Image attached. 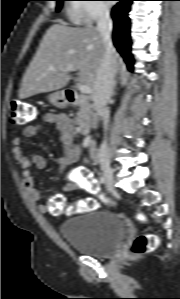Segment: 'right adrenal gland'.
I'll use <instances>...</instances> for the list:
<instances>
[{
    "mask_svg": "<svg viewBox=\"0 0 180 299\" xmlns=\"http://www.w3.org/2000/svg\"><path fill=\"white\" fill-rule=\"evenodd\" d=\"M118 83H119L118 80L114 81V84H113V95L115 94V90H116V87H117Z\"/></svg>",
    "mask_w": 180,
    "mask_h": 299,
    "instance_id": "right-adrenal-gland-1",
    "label": "right adrenal gland"
}]
</instances>
